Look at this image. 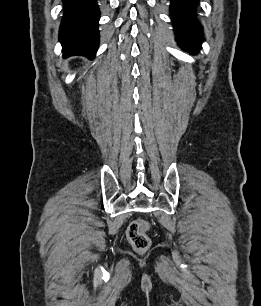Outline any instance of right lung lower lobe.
I'll use <instances>...</instances> for the list:
<instances>
[{"mask_svg":"<svg viewBox=\"0 0 261 306\" xmlns=\"http://www.w3.org/2000/svg\"><path fill=\"white\" fill-rule=\"evenodd\" d=\"M64 15L59 32L64 57L93 58L99 44L100 11L96 0H63Z\"/></svg>","mask_w":261,"mask_h":306,"instance_id":"right-lung-lower-lobe-1","label":"right lung lower lobe"}]
</instances>
